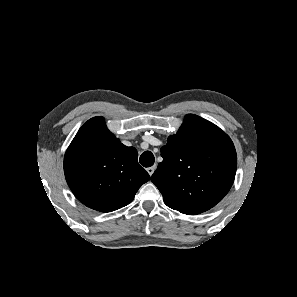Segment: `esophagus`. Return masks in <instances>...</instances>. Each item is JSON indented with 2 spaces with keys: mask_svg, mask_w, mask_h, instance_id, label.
<instances>
[{
  "mask_svg": "<svg viewBox=\"0 0 297 297\" xmlns=\"http://www.w3.org/2000/svg\"><path fill=\"white\" fill-rule=\"evenodd\" d=\"M146 170H147L148 174L151 176L155 171V166L148 167Z\"/></svg>",
  "mask_w": 297,
  "mask_h": 297,
  "instance_id": "1",
  "label": "esophagus"
}]
</instances>
